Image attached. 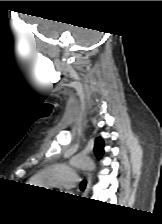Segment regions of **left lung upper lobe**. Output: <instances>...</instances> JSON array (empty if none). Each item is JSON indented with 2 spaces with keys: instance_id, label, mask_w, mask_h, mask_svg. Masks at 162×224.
I'll return each mask as SVG.
<instances>
[{
  "instance_id": "left-lung-upper-lobe-1",
  "label": "left lung upper lobe",
  "mask_w": 162,
  "mask_h": 224,
  "mask_svg": "<svg viewBox=\"0 0 162 224\" xmlns=\"http://www.w3.org/2000/svg\"><path fill=\"white\" fill-rule=\"evenodd\" d=\"M94 152L98 159L102 158L103 152H104V142L102 138H97L95 142Z\"/></svg>"
}]
</instances>
